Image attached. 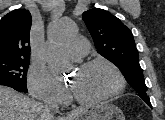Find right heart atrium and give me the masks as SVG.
<instances>
[{"label": "right heart atrium", "mask_w": 165, "mask_h": 120, "mask_svg": "<svg viewBox=\"0 0 165 120\" xmlns=\"http://www.w3.org/2000/svg\"><path fill=\"white\" fill-rule=\"evenodd\" d=\"M30 94L41 101L63 103L68 93L45 69L32 68L28 75Z\"/></svg>", "instance_id": "1"}]
</instances>
